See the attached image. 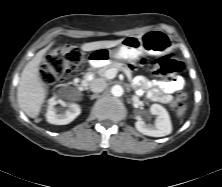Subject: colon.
Here are the masks:
<instances>
[{"label": "colon", "instance_id": "colon-1", "mask_svg": "<svg viewBox=\"0 0 222 187\" xmlns=\"http://www.w3.org/2000/svg\"><path fill=\"white\" fill-rule=\"evenodd\" d=\"M83 55L75 47L62 45L50 51L42 64L40 76L47 85H53L66 74L74 73L81 67ZM153 73L159 77H169L178 74L182 65L170 57H161L152 64ZM187 95L181 92L173 102V107L181 109L184 106Z\"/></svg>", "mask_w": 222, "mask_h": 187}]
</instances>
